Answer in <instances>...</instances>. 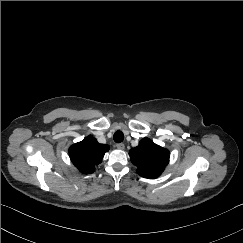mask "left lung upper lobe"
<instances>
[{"instance_id": "1", "label": "left lung upper lobe", "mask_w": 243, "mask_h": 243, "mask_svg": "<svg viewBox=\"0 0 243 243\" xmlns=\"http://www.w3.org/2000/svg\"><path fill=\"white\" fill-rule=\"evenodd\" d=\"M129 155L131 162L137 166L138 174L149 179L160 176L169 162V151L149 138H143Z\"/></svg>"}]
</instances>
